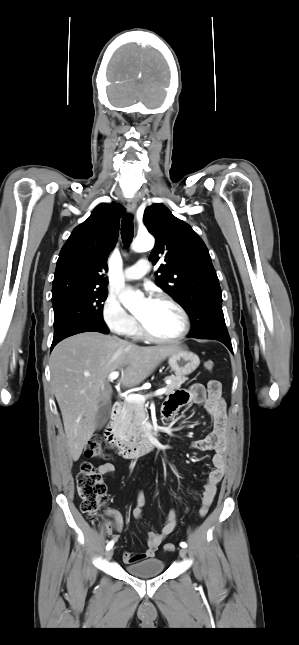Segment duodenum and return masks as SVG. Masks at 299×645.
<instances>
[{
  "label": "duodenum",
  "instance_id": "410a0bca",
  "mask_svg": "<svg viewBox=\"0 0 299 645\" xmlns=\"http://www.w3.org/2000/svg\"><path fill=\"white\" fill-rule=\"evenodd\" d=\"M122 411V404L116 402L112 407L109 422L104 430L105 441L125 459H134L156 449L160 443L159 435L156 433L149 434L136 442L127 441L120 437L117 423Z\"/></svg>",
  "mask_w": 299,
  "mask_h": 645
}]
</instances>
